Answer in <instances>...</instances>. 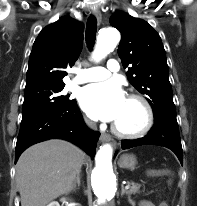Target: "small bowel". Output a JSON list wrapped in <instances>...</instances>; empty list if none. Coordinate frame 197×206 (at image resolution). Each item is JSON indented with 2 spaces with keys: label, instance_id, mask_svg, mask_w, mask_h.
Masks as SVG:
<instances>
[{
  "label": "small bowel",
  "instance_id": "small-bowel-1",
  "mask_svg": "<svg viewBox=\"0 0 197 206\" xmlns=\"http://www.w3.org/2000/svg\"><path fill=\"white\" fill-rule=\"evenodd\" d=\"M141 206H154V205L149 201H142ZM160 206H161V204H160Z\"/></svg>",
  "mask_w": 197,
  "mask_h": 206
}]
</instances>
